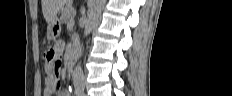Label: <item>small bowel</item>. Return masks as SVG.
<instances>
[{
    "label": "small bowel",
    "instance_id": "c3829d8e",
    "mask_svg": "<svg viewBox=\"0 0 232 96\" xmlns=\"http://www.w3.org/2000/svg\"><path fill=\"white\" fill-rule=\"evenodd\" d=\"M69 35H78V30H69ZM76 43H78L80 40L78 38H76L74 40ZM57 47L59 48V50H61L62 48V42H59ZM56 84V80L51 77L48 76L45 79V90H44V95L45 96H50L51 95V88ZM55 96H60L58 93Z\"/></svg>",
    "mask_w": 232,
    "mask_h": 96
}]
</instances>
